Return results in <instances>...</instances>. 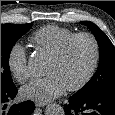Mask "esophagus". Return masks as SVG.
Segmentation results:
<instances>
[{
    "label": "esophagus",
    "instance_id": "34e87169",
    "mask_svg": "<svg viewBox=\"0 0 115 115\" xmlns=\"http://www.w3.org/2000/svg\"><path fill=\"white\" fill-rule=\"evenodd\" d=\"M35 105L37 107H44L46 105V103L45 102H35Z\"/></svg>",
    "mask_w": 115,
    "mask_h": 115
}]
</instances>
